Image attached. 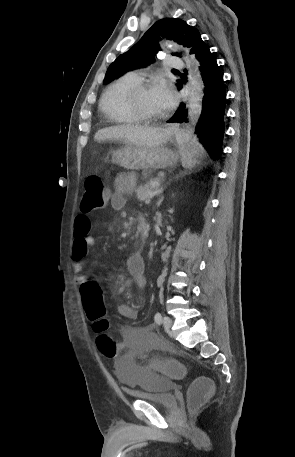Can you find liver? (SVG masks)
Masks as SVG:
<instances>
[{
	"mask_svg": "<svg viewBox=\"0 0 295 457\" xmlns=\"http://www.w3.org/2000/svg\"><path fill=\"white\" fill-rule=\"evenodd\" d=\"M167 128L123 124L100 129L96 132L95 141H121L126 145L153 147L164 143Z\"/></svg>",
	"mask_w": 295,
	"mask_h": 457,
	"instance_id": "1",
	"label": "liver"
}]
</instances>
